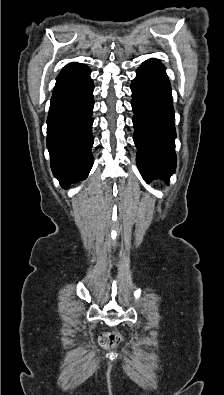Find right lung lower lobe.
Wrapping results in <instances>:
<instances>
[{
  "label": "right lung lower lobe",
  "instance_id": "obj_1",
  "mask_svg": "<svg viewBox=\"0 0 224 395\" xmlns=\"http://www.w3.org/2000/svg\"><path fill=\"white\" fill-rule=\"evenodd\" d=\"M93 89L90 69L81 63L67 64L56 78L47 148L53 174L65 188L86 179L93 165Z\"/></svg>",
  "mask_w": 224,
  "mask_h": 395
}]
</instances>
